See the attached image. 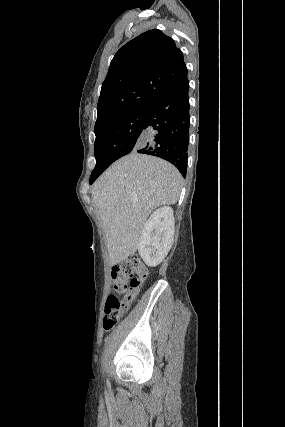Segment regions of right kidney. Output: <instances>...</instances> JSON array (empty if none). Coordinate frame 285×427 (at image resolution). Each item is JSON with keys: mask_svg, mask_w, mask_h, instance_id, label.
Instances as JSON below:
<instances>
[{"mask_svg": "<svg viewBox=\"0 0 285 427\" xmlns=\"http://www.w3.org/2000/svg\"><path fill=\"white\" fill-rule=\"evenodd\" d=\"M174 239V215L169 206L155 210L145 222L138 251L144 262L155 267L166 257Z\"/></svg>", "mask_w": 285, "mask_h": 427, "instance_id": "ca27d5eb", "label": "right kidney"}]
</instances>
